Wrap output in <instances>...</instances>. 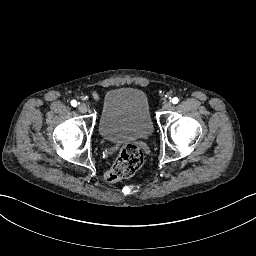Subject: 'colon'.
I'll list each match as a JSON object with an SVG mask.
<instances>
[{
	"label": "colon",
	"instance_id": "1",
	"mask_svg": "<svg viewBox=\"0 0 256 256\" xmlns=\"http://www.w3.org/2000/svg\"><path fill=\"white\" fill-rule=\"evenodd\" d=\"M145 164L142 149L135 144H126L120 148L114 165L104 178L107 182H114L121 178L131 177Z\"/></svg>",
	"mask_w": 256,
	"mask_h": 256
}]
</instances>
